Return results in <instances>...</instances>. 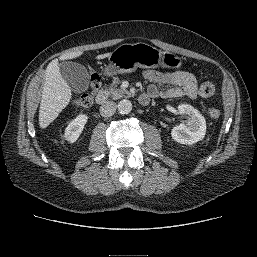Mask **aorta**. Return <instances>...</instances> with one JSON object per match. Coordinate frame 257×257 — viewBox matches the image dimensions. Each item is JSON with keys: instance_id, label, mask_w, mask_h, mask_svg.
I'll list each match as a JSON object with an SVG mask.
<instances>
[{"instance_id": "aorta-1", "label": "aorta", "mask_w": 257, "mask_h": 257, "mask_svg": "<svg viewBox=\"0 0 257 257\" xmlns=\"http://www.w3.org/2000/svg\"><path fill=\"white\" fill-rule=\"evenodd\" d=\"M117 108L121 114H128L132 110V103L127 99H123L118 103Z\"/></svg>"}]
</instances>
